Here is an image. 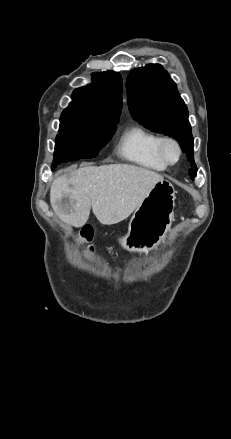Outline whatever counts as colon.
I'll return each mask as SVG.
<instances>
[{
  "instance_id": "5ec220e1",
  "label": "colon",
  "mask_w": 231,
  "mask_h": 439,
  "mask_svg": "<svg viewBox=\"0 0 231 439\" xmlns=\"http://www.w3.org/2000/svg\"><path fill=\"white\" fill-rule=\"evenodd\" d=\"M78 239L81 243L89 245L93 239V229L90 226L83 227ZM89 250H91V247H89Z\"/></svg>"
}]
</instances>
